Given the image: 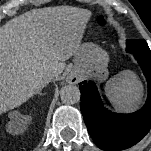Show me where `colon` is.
<instances>
[{"instance_id":"obj_1","label":"colon","mask_w":151,"mask_h":151,"mask_svg":"<svg viewBox=\"0 0 151 151\" xmlns=\"http://www.w3.org/2000/svg\"><path fill=\"white\" fill-rule=\"evenodd\" d=\"M96 23H97V25H98L99 27H101V28H107V27L109 26V20H108V18H107L106 16H104V15L98 16L97 19H96ZM110 33H111V36H112L113 38H118V37H120V32H119V30L116 29V28L111 29Z\"/></svg>"}]
</instances>
